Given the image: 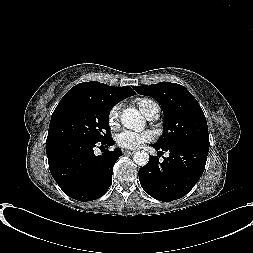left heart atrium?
<instances>
[{
  "label": "left heart atrium",
  "mask_w": 253,
  "mask_h": 253,
  "mask_svg": "<svg viewBox=\"0 0 253 253\" xmlns=\"http://www.w3.org/2000/svg\"><path fill=\"white\" fill-rule=\"evenodd\" d=\"M155 133L151 130L136 132L132 130H123L116 135V143L121 148L137 149L144 144L153 141Z\"/></svg>",
  "instance_id": "obj_1"
}]
</instances>
